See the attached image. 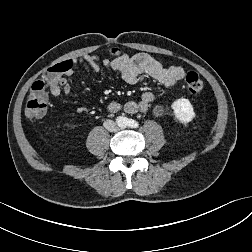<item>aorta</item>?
<instances>
[{
    "mask_svg": "<svg viewBox=\"0 0 252 252\" xmlns=\"http://www.w3.org/2000/svg\"><path fill=\"white\" fill-rule=\"evenodd\" d=\"M117 122L120 127H125L127 125V119L125 117H119Z\"/></svg>",
    "mask_w": 252,
    "mask_h": 252,
    "instance_id": "1",
    "label": "aorta"
}]
</instances>
